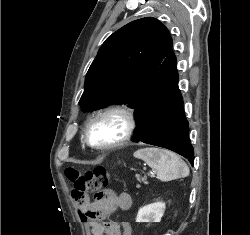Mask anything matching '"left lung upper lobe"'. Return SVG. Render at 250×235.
I'll use <instances>...</instances> for the list:
<instances>
[{"label":"left lung upper lobe","instance_id":"1","mask_svg":"<svg viewBox=\"0 0 250 235\" xmlns=\"http://www.w3.org/2000/svg\"><path fill=\"white\" fill-rule=\"evenodd\" d=\"M172 47L167 28L147 17L123 26L100 47L79 101L84 111L111 104L135 108Z\"/></svg>","mask_w":250,"mask_h":235}]
</instances>
